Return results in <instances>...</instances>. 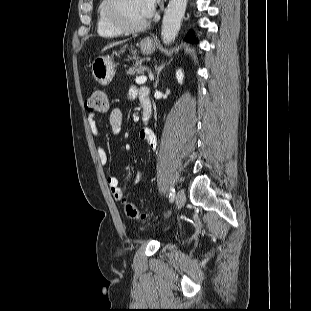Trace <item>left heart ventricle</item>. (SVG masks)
<instances>
[{
  "instance_id": "1",
  "label": "left heart ventricle",
  "mask_w": 311,
  "mask_h": 311,
  "mask_svg": "<svg viewBox=\"0 0 311 311\" xmlns=\"http://www.w3.org/2000/svg\"><path fill=\"white\" fill-rule=\"evenodd\" d=\"M119 12L123 21L129 25H140L148 20L142 0H121Z\"/></svg>"
}]
</instances>
